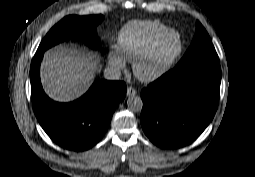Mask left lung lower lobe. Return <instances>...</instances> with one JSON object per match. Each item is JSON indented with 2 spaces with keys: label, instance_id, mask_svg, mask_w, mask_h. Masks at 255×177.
Returning a JSON list of instances; mask_svg holds the SVG:
<instances>
[{
  "label": "left lung lower lobe",
  "instance_id": "left-lung-lower-lobe-1",
  "mask_svg": "<svg viewBox=\"0 0 255 177\" xmlns=\"http://www.w3.org/2000/svg\"><path fill=\"white\" fill-rule=\"evenodd\" d=\"M219 58L177 65L141 92V125L157 146L178 148L193 142L217 110Z\"/></svg>",
  "mask_w": 255,
  "mask_h": 177
}]
</instances>
